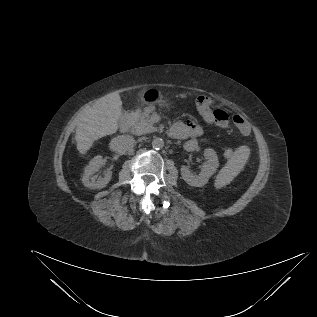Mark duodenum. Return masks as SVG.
<instances>
[{
    "label": "duodenum",
    "instance_id": "1",
    "mask_svg": "<svg viewBox=\"0 0 317 317\" xmlns=\"http://www.w3.org/2000/svg\"><path fill=\"white\" fill-rule=\"evenodd\" d=\"M129 125H130V114L125 113L119 122L120 130L123 132L127 131L129 128Z\"/></svg>",
    "mask_w": 317,
    "mask_h": 317
}]
</instances>
